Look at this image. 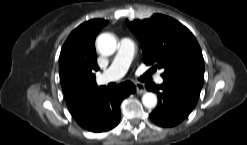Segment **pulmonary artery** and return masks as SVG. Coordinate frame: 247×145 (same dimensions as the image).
<instances>
[{
    "instance_id": "e3ab8cb5",
    "label": "pulmonary artery",
    "mask_w": 247,
    "mask_h": 145,
    "mask_svg": "<svg viewBox=\"0 0 247 145\" xmlns=\"http://www.w3.org/2000/svg\"><path fill=\"white\" fill-rule=\"evenodd\" d=\"M135 53V44L129 38H122L119 44L118 52L111 65L97 78L100 85L116 81L123 77L133 59ZM156 82L162 83L163 79L160 75L156 76Z\"/></svg>"
}]
</instances>
